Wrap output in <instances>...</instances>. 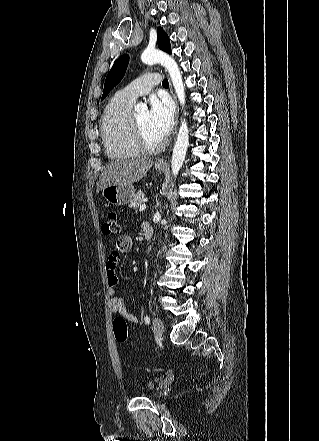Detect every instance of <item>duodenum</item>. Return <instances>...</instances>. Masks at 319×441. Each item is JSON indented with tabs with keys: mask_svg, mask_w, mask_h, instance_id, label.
Wrapping results in <instances>:
<instances>
[{
	"mask_svg": "<svg viewBox=\"0 0 319 441\" xmlns=\"http://www.w3.org/2000/svg\"><path fill=\"white\" fill-rule=\"evenodd\" d=\"M143 235L145 239H150L153 235V227L149 223L143 224Z\"/></svg>",
	"mask_w": 319,
	"mask_h": 441,
	"instance_id": "410a0bca",
	"label": "duodenum"
}]
</instances>
